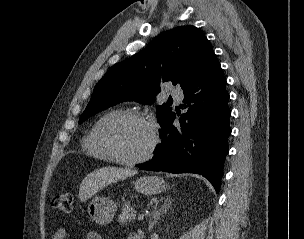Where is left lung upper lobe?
Masks as SVG:
<instances>
[{
  "instance_id": "5c2ea615",
  "label": "left lung upper lobe",
  "mask_w": 304,
  "mask_h": 239,
  "mask_svg": "<svg viewBox=\"0 0 304 239\" xmlns=\"http://www.w3.org/2000/svg\"><path fill=\"white\" fill-rule=\"evenodd\" d=\"M213 48L194 26H181L157 36L142 51L112 66L94 88L79 124L96 113L124 101L152 104L163 82L186 90L200 75ZM166 104L157 106L162 125L172 114Z\"/></svg>"
}]
</instances>
